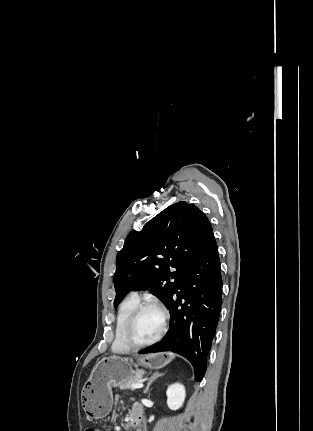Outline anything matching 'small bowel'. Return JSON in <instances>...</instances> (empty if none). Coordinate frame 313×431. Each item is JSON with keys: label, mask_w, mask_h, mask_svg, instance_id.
I'll list each match as a JSON object with an SVG mask.
<instances>
[{"label": "small bowel", "mask_w": 313, "mask_h": 431, "mask_svg": "<svg viewBox=\"0 0 313 431\" xmlns=\"http://www.w3.org/2000/svg\"><path fill=\"white\" fill-rule=\"evenodd\" d=\"M132 414H138L140 416V418H141V416H142V410H141V408L139 406H134L133 409H132V412H131V415Z\"/></svg>", "instance_id": "c3829d8e"}]
</instances>
